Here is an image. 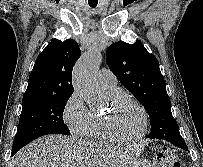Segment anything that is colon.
Masks as SVG:
<instances>
[{"mask_svg":"<svg viewBox=\"0 0 203 167\" xmlns=\"http://www.w3.org/2000/svg\"><path fill=\"white\" fill-rule=\"evenodd\" d=\"M156 163L158 167H181L176 158L165 151H160L157 154Z\"/></svg>","mask_w":203,"mask_h":167,"instance_id":"obj_1","label":"colon"}]
</instances>
